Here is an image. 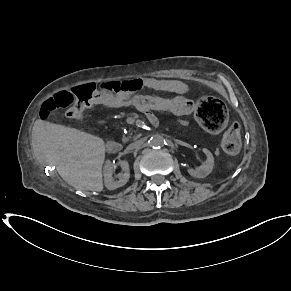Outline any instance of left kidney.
Wrapping results in <instances>:
<instances>
[{
	"mask_svg": "<svg viewBox=\"0 0 291 291\" xmlns=\"http://www.w3.org/2000/svg\"><path fill=\"white\" fill-rule=\"evenodd\" d=\"M203 152L207 156L206 161L196 169H188V173L195 178H204L208 176L213 170L214 158L212 153L206 148L203 149Z\"/></svg>",
	"mask_w": 291,
	"mask_h": 291,
	"instance_id": "left-kidney-1",
	"label": "left kidney"
}]
</instances>
